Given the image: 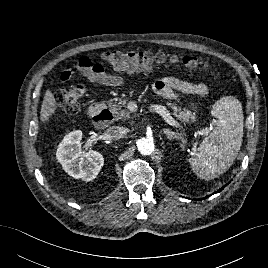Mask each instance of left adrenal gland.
Returning a JSON list of instances; mask_svg holds the SVG:
<instances>
[{
    "instance_id": "left-adrenal-gland-1",
    "label": "left adrenal gland",
    "mask_w": 268,
    "mask_h": 268,
    "mask_svg": "<svg viewBox=\"0 0 268 268\" xmlns=\"http://www.w3.org/2000/svg\"><path fill=\"white\" fill-rule=\"evenodd\" d=\"M163 132L167 135L169 139H179L178 133L171 131L169 129H163Z\"/></svg>"
}]
</instances>
